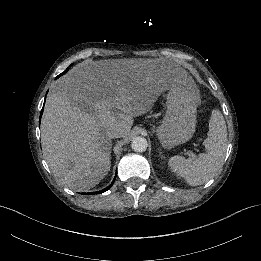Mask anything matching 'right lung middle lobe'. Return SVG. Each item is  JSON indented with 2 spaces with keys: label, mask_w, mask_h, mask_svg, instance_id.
I'll list each match as a JSON object with an SVG mask.
<instances>
[{
  "label": "right lung middle lobe",
  "mask_w": 261,
  "mask_h": 261,
  "mask_svg": "<svg viewBox=\"0 0 261 261\" xmlns=\"http://www.w3.org/2000/svg\"><path fill=\"white\" fill-rule=\"evenodd\" d=\"M67 70H68V68H67L63 73H61L60 75H58L57 78L60 77L61 75H63L64 73H66Z\"/></svg>",
  "instance_id": "dd1d6c3e"
}]
</instances>
